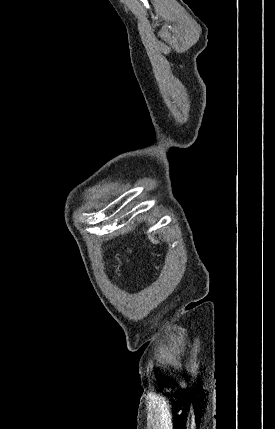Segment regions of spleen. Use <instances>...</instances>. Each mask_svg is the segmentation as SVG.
<instances>
[{
  "label": "spleen",
  "instance_id": "obj_1",
  "mask_svg": "<svg viewBox=\"0 0 275 429\" xmlns=\"http://www.w3.org/2000/svg\"><path fill=\"white\" fill-rule=\"evenodd\" d=\"M148 238L153 244L159 243L158 239H155L154 236L148 235Z\"/></svg>",
  "mask_w": 275,
  "mask_h": 429
}]
</instances>
